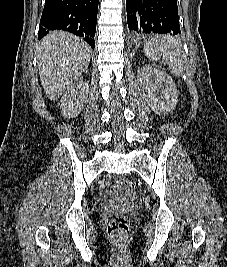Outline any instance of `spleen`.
<instances>
[{"label":"spleen","mask_w":227,"mask_h":267,"mask_svg":"<svg viewBox=\"0 0 227 267\" xmlns=\"http://www.w3.org/2000/svg\"><path fill=\"white\" fill-rule=\"evenodd\" d=\"M145 53L151 59L162 58L169 65L173 74L179 76L184 69L181 43L170 36L155 38L146 43Z\"/></svg>","instance_id":"3e777b00"}]
</instances>
